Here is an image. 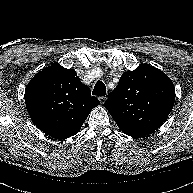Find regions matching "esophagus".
Wrapping results in <instances>:
<instances>
[{"label": "esophagus", "instance_id": "34e87169", "mask_svg": "<svg viewBox=\"0 0 193 193\" xmlns=\"http://www.w3.org/2000/svg\"><path fill=\"white\" fill-rule=\"evenodd\" d=\"M98 99H99L101 104H104L106 101V96H100Z\"/></svg>", "mask_w": 193, "mask_h": 193}]
</instances>
